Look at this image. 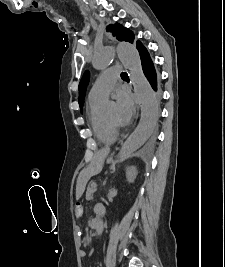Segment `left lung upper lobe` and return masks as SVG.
<instances>
[{
    "label": "left lung upper lobe",
    "mask_w": 225,
    "mask_h": 267,
    "mask_svg": "<svg viewBox=\"0 0 225 267\" xmlns=\"http://www.w3.org/2000/svg\"><path fill=\"white\" fill-rule=\"evenodd\" d=\"M112 29V32L117 35V38L120 40V41H127V42H130V43H133V40H134V35L133 33L122 27L120 24H115V25H109L108 26V29ZM88 82H89V72L86 71L79 83V98H78V102H79V106H80V109L83 108V104H84V98H85V93H86V88H87V85H88Z\"/></svg>",
    "instance_id": "1"
}]
</instances>
